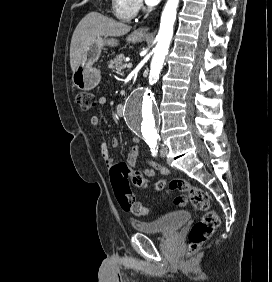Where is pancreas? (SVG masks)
<instances>
[{"mask_svg": "<svg viewBox=\"0 0 272 282\" xmlns=\"http://www.w3.org/2000/svg\"><path fill=\"white\" fill-rule=\"evenodd\" d=\"M125 56L124 54H120L116 56L113 60L108 62V67L114 72H120L125 68Z\"/></svg>", "mask_w": 272, "mask_h": 282, "instance_id": "cf45deb5", "label": "pancreas"}]
</instances>
